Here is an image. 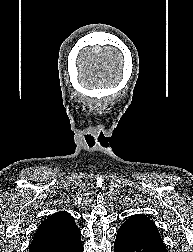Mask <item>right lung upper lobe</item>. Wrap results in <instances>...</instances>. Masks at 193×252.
I'll return each mask as SVG.
<instances>
[{"instance_id":"cb5924a9","label":"right lung upper lobe","mask_w":193,"mask_h":252,"mask_svg":"<svg viewBox=\"0 0 193 252\" xmlns=\"http://www.w3.org/2000/svg\"><path fill=\"white\" fill-rule=\"evenodd\" d=\"M78 230L74 218L69 213H55L39 225L30 248L64 240Z\"/></svg>"}]
</instances>
